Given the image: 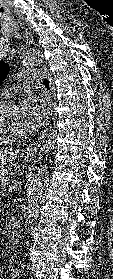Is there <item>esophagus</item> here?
Returning a JSON list of instances; mask_svg holds the SVG:
<instances>
[{
	"label": "esophagus",
	"instance_id": "obj_1",
	"mask_svg": "<svg viewBox=\"0 0 113 279\" xmlns=\"http://www.w3.org/2000/svg\"><path fill=\"white\" fill-rule=\"evenodd\" d=\"M39 69L42 73H44L46 75V77L48 78V81H49V85H50V90L52 92V87H53V81H52V78L46 68L45 65L43 64H40L39 65ZM52 113H53V109L51 108L50 110V113H49V116L48 118L46 119V122L45 124L48 125L49 122H50V119H51V116H52ZM38 147H39V143L38 141H35L33 142V144L29 145L28 148L24 151V155L26 156H34V154L38 151Z\"/></svg>",
	"mask_w": 113,
	"mask_h": 279
}]
</instances>
